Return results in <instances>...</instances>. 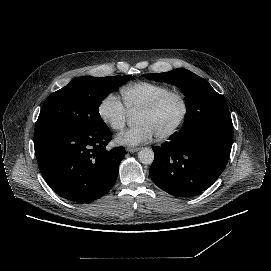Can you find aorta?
Listing matches in <instances>:
<instances>
[{
	"label": "aorta",
	"mask_w": 271,
	"mask_h": 271,
	"mask_svg": "<svg viewBox=\"0 0 271 271\" xmlns=\"http://www.w3.org/2000/svg\"><path fill=\"white\" fill-rule=\"evenodd\" d=\"M138 158L142 164L150 165L154 160V152L150 148H143L138 152Z\"/></svg>",
	"instance_id": "762f6f07"
}]
</instances>
